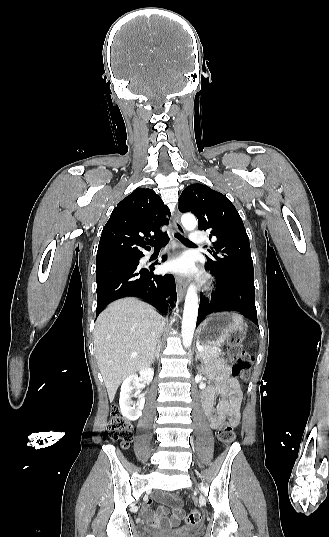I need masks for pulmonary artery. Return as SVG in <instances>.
I'll return each instance as SVG.
<instances>
[{
	"label": "pulmonary artery",
	"mask_w": 329,
	"mask_h": 537,
	"mask_svg": "<svg viewBox=\"0 0 329 537\" xmlns=\"http://www.w3.org/2000/svg\"><path fill=\"white\" fill-rule=\"evenodd\" d=\"M190 240L194 245H201L205 242V235L201 231H193L190 234Z\"/></svg>",
	"instance_id": "obj_1"
}]
</instances>
